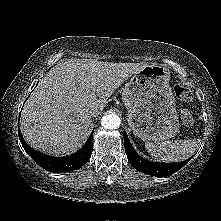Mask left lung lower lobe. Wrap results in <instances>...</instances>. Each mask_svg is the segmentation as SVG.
<instances>
[{"mask_svg": "<svg viewBox=\"0 0 221 221\" xmlns=\"http://www.w3.org/2000/svg\"><path fill=\"white\" fill-rule=\"evenodd\" d=\"M124 146L127 154L128 161L130 164L140 172L147 173L153 176H169L179 169H181L184 165H186L193 157L189 159L178 162V163H154L150 162L141 156H139L133 149L126 132L124 131Z\"/></svg>", "mask_w": 221, "mask_h": 221, "instance_id": "obj_1", "label": "left lung lower lobe"}]
</instances>
